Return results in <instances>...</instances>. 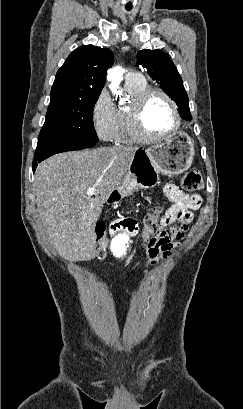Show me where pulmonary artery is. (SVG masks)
Here are the masks:
<instances>
[{
	"label": "pulmonary artery",
	"mask_w": 243,
	"mask_h": 409,
	"mask_svg": "<svg viewBox=\"0 0 243 409\" xmlns=\"http://www.w3.org/2000/svg\"><path fill=\"white\" fill-rule=\"evenodd\" d=\"M144 78L140 73H136V72H129L126 75V81L128 82H140L143 81Z\"/></svg>",
	"instance_id": "1"
}]
</instances>
